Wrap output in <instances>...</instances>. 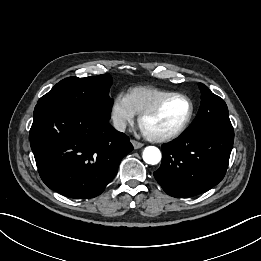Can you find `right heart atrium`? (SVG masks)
<instances>
[{"mask_svg":"<svg viewBox=\"0 0 261 261\" xmlns=\"http://www.w3.org/2000/svg\"><path fill=\"white\" fill-rule=\"evenodd\" d=\"M110 117L114 128L118 131H124L134 121L135 112L131 108L126 95L118 94L114 97Z\"/></svg>","mask_w":261,"mask_h":261,"instance_id":"1","label":"right heart atrium"}]
</instances>
